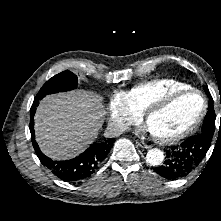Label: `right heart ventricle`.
Instances as JSON below:
<instances>
[{
	"label": "right heart ventricle",
	"instance_id": "right-heart-ventricle-1",
	"mask_svg": "<svg viewBox=\"0 0 221 221\" xmlns=\"http://www.w3.org/2000/svg\"><path fill=\"white\" fill-rule=\"evenodd\" d=\"M189 87L190 85L187 83L176 79L161 78L138 83L126 91L125 94L131 108L141 115L153 101L169 92Z\"/></svg>",
	"mask_w": 221,
	"mask_h": 221
}]
</instances>
